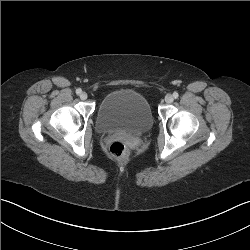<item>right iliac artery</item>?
<instances>
[{"label":"right iliac artery","mask_w":250,"mask_h":250,"mask_svg":"<svg viewBox=\"0 0 250 250\" xmlns=\"http://www.w3.org/2000/svg\"><path fill=\"white\" fill-rule=\"evenodd\" d=\"M81 93H82V90H81L80 88H78V89L76 90V94L80 95Z\"/></svg>","instance_id":"82829eb1"}]
</instances>
